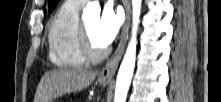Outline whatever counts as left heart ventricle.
<instances>
[{"instance_id": "1", "label": "left heart ventricle", "mask_w": 221, "mask_h": 102, "mask_svg": "<svg viewBox=\"0 0 221 102\" xmlns=\"http://www.w3.org/2000/svg\"><path fill=\"white\" fill-rule=\"evenodd\" d=\"M98 20L99 19L97 17H94L85 21L84 24L86 26V29L88 31V34L90 36V39L93 45L96 47H102V45L97 41L96 36H95V31H96V27L98 24Z\"/></svg>"}]
</instances>
